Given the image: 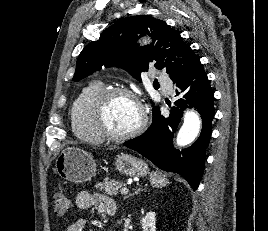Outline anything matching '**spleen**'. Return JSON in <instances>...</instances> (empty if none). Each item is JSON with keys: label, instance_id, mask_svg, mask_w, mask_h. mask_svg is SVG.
Masks as SVG:
<instances>
[{"label": "spleen", "instance_id": "spleen-1", "mask_svg": "<svg viewBox=\"0 0 268 231\" xmlns=\"http://www.w3.org/2000/svg\"><path fill=\"white\" fill-rule=\"evenodd\" d=\"M150 182L154 187H163L166 186L169 182L168 180L157 172H152L150 174Z\"/></svg>", "mask_w": 268, "mask_h": 231}]
</instances>
